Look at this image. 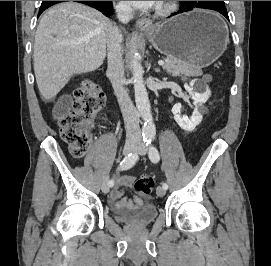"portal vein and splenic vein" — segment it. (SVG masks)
<instances>
[{"label": "portal vein and splenic vein", "instance_id": "portal-vein-and-splenic-vein-1", "mask_svg": "<svg viewBox=\"0 0 271 266\" xmlns=\"http://www.w3.org/2000/svg\"><path fill=\"white\" fill-rule=\"evenodd\" d=\"M158 65L164 66V65H165V62H164L163 60H159V61H158Z\"/></svg>", "mask_w": 271, "mask_h": 266}]
</instances>
